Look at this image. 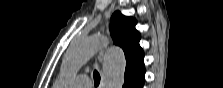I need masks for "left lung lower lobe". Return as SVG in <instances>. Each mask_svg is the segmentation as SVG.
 I'll list each match as a JSON object with an SVG mask.
<instances>
[{
	"label": "left lung lower lobe",
	"mask_w": 223,
	"mask_h": 88,
	"mask_svg": "<svg viewBox=\"0 0 223 88\" xmlns=\"http://www.w3.org/2000/svg\"><path fill=\"white\" fill-rule=\"evenodd\" d=\"M145 80V67L139 65L126 68L123 88H142Z\"/></svg>",
	"instance_id": "obj_1"
}]
</instances>
